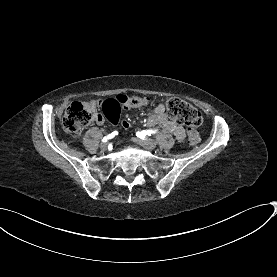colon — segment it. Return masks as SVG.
<instances>
[{"label": "colon", "mask_w": 277, "mask_h": 277, "mask_svg": "<svg viewBox=\"0 0 277 277\" xmlns=\"http://www.w3.org/2000/svg\"><path fill=\"white\" fill-rule=\"evenodd\" d=\"M117 98L119 99L118 108L123 110L148 105V100L145 97L118 95ZM102 108L100 101L96 99H91L86 104L77 101L71 103L62 117L64 128L72 136H80L87 125L95 120H104L100 113ZM166 111L171 118L186 125L188 128V142L191 145H197L200 142V134L197 131V127L202 121L201 114L192 105L177 97H173L167 102Z\"/></svg>", "instance_id": "1"}]
</instances>
